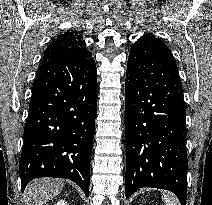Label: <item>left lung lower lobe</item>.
Returning a JSON list of instances; mask_svg holds the SVG:
<instances>
[{
    "label": "left lung lower lobe",
    "instance_id": "0a47b994",
    "mask_svg": "<svg viewBox=\"0 0 212 205\" xmlns=\"http://www.w3.org/2000/svg\"><path fill=\"white\" fill-rule=\"evenodd\" d=\"M125 97L126 197L142 187L160 188L185 205V103L177 65L162 40L144 35L132 45Z\"/></svg>",
    "mask_w": 212,
    "mask_h": 205
}]
</instances>
